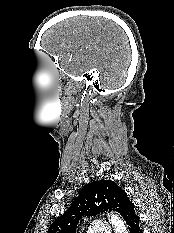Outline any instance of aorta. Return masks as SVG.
<instances>
[{
	"instance_id": "762f6f07",
	"label": "aorta",
	"mask_w": 174,
	"mask_h": 233,
	"mask_svg": "<svg viewBox=\"0 0 174 233\" xmlns=\"http://www.w3.org/2000/svg\"><path fill=\"white\" fill-rule=\"evenodd\" d=\"M108 216L115 233H128L125 222L118 215L111 213Z\"/></svg>"
}]
</instances>
